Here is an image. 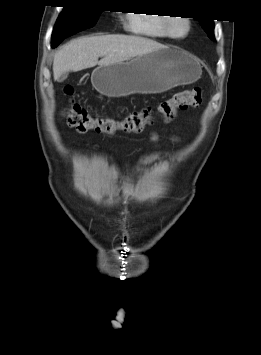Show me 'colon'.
Instances as JSON below:
<instances>
[{"label": "colon", "mask_w": 261, "mask_h": 355, "mask_svg": "<svg viewBox=\"0 0 261 355\" xmlns=\"http://www.w3.org/2000/svg\"><path fill=\"white\" fill-rule=\"evenodd\" d=\"M65 92L70 95L72 88L66 87ZM202 102L201 89L198 87L176 92L170 98L161 101L155 108L144 107L117 120L106 117H94L79 103L70 101L64 109L68 125L79 132L94 131L99 134L112 135L117 132L138 133L146 125L153 123L157 113L165 121L174 118L179 110L198 107Z\"/></svg>", "instance_id": "1"}]
</instances>
